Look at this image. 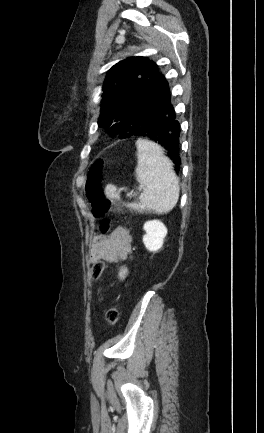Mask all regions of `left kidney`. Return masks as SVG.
Masks as SVG:
<instances>
[{"instance_id": "left-kidney-1", "label": "left kidney", "mask_w": 264, "mask_h": 433, "mask_svg": "<svg viewBox=\"0 0 264 433\" xmlns=\"http://www.w3.org/2000/svg\"><path fill=\"white\" fill-rule=\"evenodd\" d=\"M143 229L146 234L143 236V243L147 250L151 252L158 251L164 243V239L167 235V228L159 220L147 221Z\"/></svg>"}]
</instances>
